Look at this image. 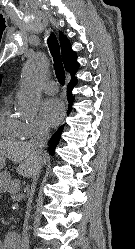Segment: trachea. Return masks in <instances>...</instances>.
Segmentation results:
<instances>
[{"instance_id": "trachea-1", "label": "trachea", "mask_w": 135, "mask_h": 249, "mask_svg": "<svg viewBox=\"0 0 135 249\" xmlns=\"http://www.w3.org/2000/svg\"><path fill=\"white\" fill-rule=\"evenodd\" d=\"M48 47L54 60V70L61 85L65 84V71L60 54V46L55 34L51 33L48 40Z\"/></svg>"}]
</instances>
